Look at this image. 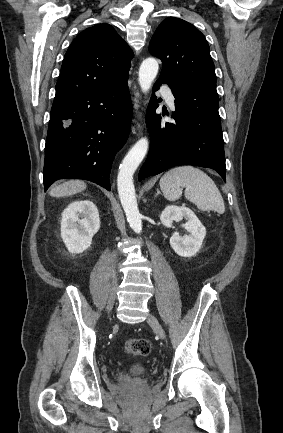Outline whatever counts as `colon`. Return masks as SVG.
<instances>
[{
    "label": "colon",
    "instance_id": "5ec220e1",
    "mask_svg": "<svg viewBox=\"0 0 283 433\" xmlns=\"http://www.w3.org/2000/svg\"><path fill=\"white\" fill-rule=\"evenodd\" d=\"M151 351V343L144 338H132L125 342L124 352L128 356H146Z\"/></svg>",
    "mask_w": 283,
    "mask_h": 433
}]
</instances>
